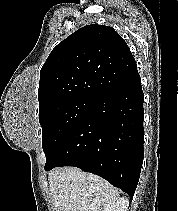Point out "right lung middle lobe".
<instances>
[{"label": "right lung middle lobe", "mask_w": 178, "mask_h": 211, "mask_svg": "<svg viewBox=\"0 0 178 211\" xmlns=\"http://www.w3.org/2000/svg\"><path fill=\"white\" fill-rule=\"evenodd\" d=\"M96 100L74 98L52 104L39 111L42 147L46 158L86 117Z\"/></svg>", "instance_id": "obj_1"}]
</instances>
